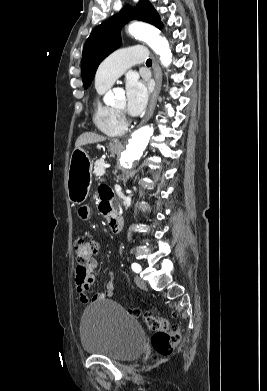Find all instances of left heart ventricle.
Segmentation results:
<instances>
[{
	"mask_svg": "<svg viewBox=\"0 0 267 391\" xmlns=\"http://www.w3.org/2000/svg\"><path fill=\"white\" fill-rule=\"evenodd\" d=\"M126 105V100L125 98H121L120 100H118V102L115 104L114 108L116 109H124Z\"/></svg>",
	"mask_w": 267,
	"mask_h": 391,
	"instance_id": "1",
	"label": "left heart ventricle"
}]
</instances>
